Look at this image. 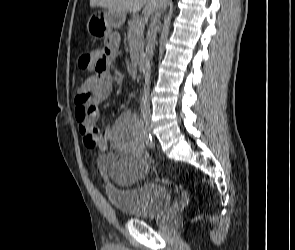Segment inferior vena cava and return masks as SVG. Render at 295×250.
<instances>
[{"label": "inferior vena cava", "mask_w": 295, "mask_h": 250, "mask_svg": "<svg viewBox=\"0 0 295 250\" xmlns=\"http://www.w3.org/2000/svg\"><path fill=\"white\" fill-rule=\"evenodd\" d=\"M163 0H160V6L155 11V15L151 21L148 34H147V45H146V75H145V86L143 91V96L141 99L140 109L141 114L143 116H149L150 111V101H149V95H150V61L153 58L154 55V47H155V41H156V34L158 31V21L159 17L164 11L165 8H163L162 5Z\"/></svg>", "instance_id": "602c4592"}]
</instances>
